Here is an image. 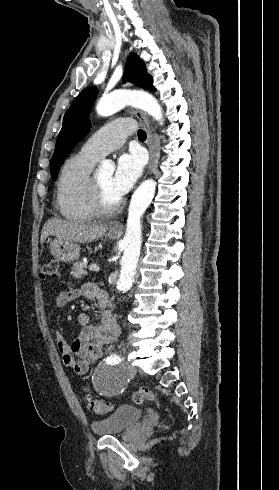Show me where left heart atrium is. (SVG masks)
Listing matches in <instances>:
<instances>
[{
    "instance_id": "39dd6f15",
    "label": "left heart atrium",
    "mask_w": 279,
    "mask_h": 490,
    "mask_svg": "<svg viewBox=\"0 0 279 490\" xmlns=\"http://www.w3.org/2000/svg\"><path fill=\"white\" fill-rule=\"evenodd\" d=\"M143 172V163L138 154H123L117 160L116 169L112 176V193L117 199L126 195Z\"/></svg>"
}]
</instances>
